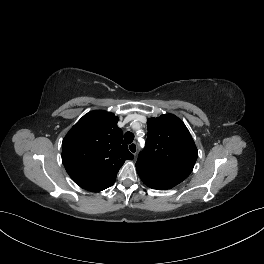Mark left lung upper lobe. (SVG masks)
Instances as JSON below:
<instances>
[{
  "instance_id": "obj_1",
  "label": "left lung upper lobe",
  "mask_w": 264,
  "mask_h": 264,
  "mask_svg": "<svg viewBox=\"0 0 264 264\" xmlns=\"http://www.w3.org/2000/svg\"><path fill=\"white\" fill-rule=\"evenodd\" d=\"M147 129L146 146L136 163L137 172L158 167L182 182L192 172L198 156L185 124L175 115L166 114L149 118Z\"/></svg>"
}]
</instances>
